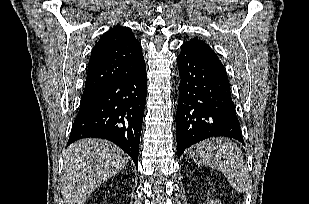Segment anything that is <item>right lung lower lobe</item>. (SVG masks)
<instances>
[{"instance_id":"1","label":"right lung lower lobe","mask_w":309,"mask_h":204,"mask_svg":"<svg viewBox=\"0 0 309 204\" xmlns=\"http://www.w3.org/2000/svg\"><path fill=\"white\" fill-rule=\"evenodd\" d=\"M146 89L144 66L135 73L84 91L67 145L83 138L107 139L137 165Z\"/></svg>"}]
</instances>
